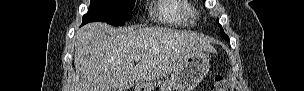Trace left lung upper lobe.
Wrapping results in <instances>:
<instances>
[{
  "mask_svg": "<svg viewBox=\"0 0 304 91\" xmlns=\"http://www.w3.org/2000/svg\"><path fill=\"white\" fill-rule=\"evenodd\" d=\"M219 26H220V28H221V36H222L225 40L229 41V37L224 33V30L222 29L221 25H219Z\"/></svg>",
  "mask_w": 304,
  "mask_h": 91,
  "instance_id": "left-lung-upper-lobe-1",
  "label": "left lung upper lobe"
}]
</instances>
